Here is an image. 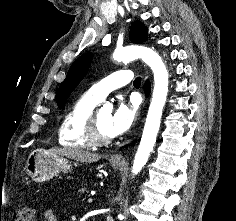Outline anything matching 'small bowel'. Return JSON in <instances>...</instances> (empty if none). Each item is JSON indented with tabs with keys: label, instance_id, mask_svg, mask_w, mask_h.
Masks as SVG:
<instances>
[{
	"label": "small bowel",
	"instance_id": "obj_1",
	"mask_svg": "<svg viewBox=\"0 0 236 221\" xmlns=\"http://www.w3.org/2000/svg\"><path fill=\"white\" fill-rule=\"evenodd\" d=\"M43 221H58L56 211L54 209H47L43 214Z\"/></svg>",
	"mask_w": 236,
	"mask_h": 221
}]
</instances>
